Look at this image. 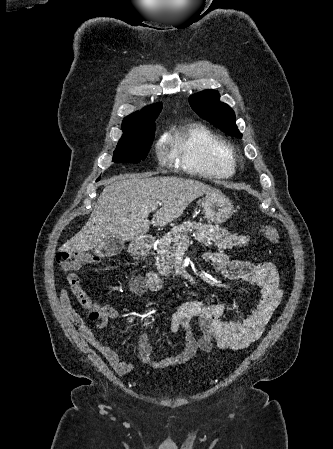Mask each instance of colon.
I'll return each mask as SVG.
<instances>
[{"label": "colon", "instance_id": "1", "mask_svg": "<svg viewBox=\"0 0 333 449\" xmlns=\"http://www.w3.org/2000/svg\"><path fill=\"white\" fill-rule=\"evenodd\" d=\"M259 230L272 243L280 241V236L275 228L263 225L259 226ZM98 260L99 257L84 252L59 251L56 254V263L65 271L79 269L82 266L96 263ZM101 311V309L90 311V318L97 319L101 315Z\"/></svg>", "mask_w": 333, "mask_h": 449}]
</instances>
